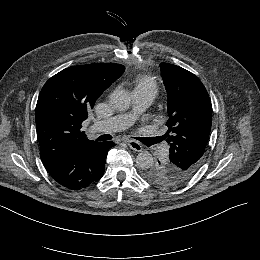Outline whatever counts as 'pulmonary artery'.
<instances>
[{
    "label": "pulmonary artery",
    "instance_id": "1",
    "mask_svg": "<svg viewBox=\"0 0 260 260\" xmlns=\"http://www.w3.org/2000/svg\"><path fill=\"white\" fill-rule=\"evenodd\" d=\"M153 101V95L145 92L133 93V101L128 104L122 115L95 123L89 128L91 133H117L122 128H130L138 114Z\"/></svg>",
    "mask_w": 260,
    "mask_h": 260
}]
</instances>
